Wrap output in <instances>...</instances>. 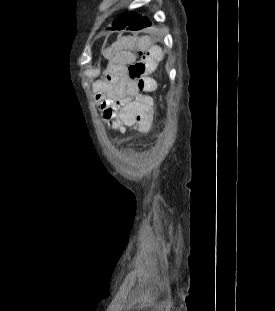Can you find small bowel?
Returning a JSON list of instances; mask_svg holds the SVG:
<instances>
[{"label":"small bowel","instance_id":"c3829d8e","mask_svg":"<svg viewBox=\"0 0 275 311\" xmlns=\"http://www.w3.org/2000/svg\"><path fill=\"white\" fill-rule=\"evenodd\" d=\"M103 55L109 59L107 71L94 89L104 117L125 118L126 128H134V133H151L153 99L139 92L136 81L128 74V67L136 57H154L156 64L167 62L166 51L153 45L149 37H142L140 41L126 37L106 49Z\"/></svg>","mask_w":275,"mask_h":311}]
</instances>
